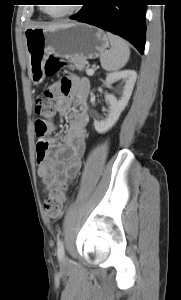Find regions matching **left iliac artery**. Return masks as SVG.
<instances>
[{
	"label": "left iliac artery",
	"mask_w": 181,
	"mask_h": 300,
	"mask_svg": "<svg viewBox=\"0 0 181 300\" xmlns=\"http://www.w3.org/2000/svg\"><path fill=\"white\" fill-rule=\"evenodd\" d=\"M57 255H58V258L61 259L64 255V244H63V241H59L57 243Z\"/></svg>",
	"instance_id": "obj_1"
}]
</instances>
